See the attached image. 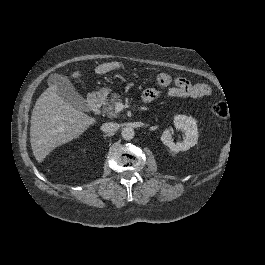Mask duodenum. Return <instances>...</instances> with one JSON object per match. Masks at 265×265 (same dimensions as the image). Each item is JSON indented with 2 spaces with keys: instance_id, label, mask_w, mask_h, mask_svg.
Instances as JSON below:
<instances>
[{
  "instance_id": "1",
  "label": "duodenum",
  "mask_w": 265,
  "mask_h": 265,
  "mask_svg": "<svg viewBox=\"0 0 265 265\" xmlns=\"http://www.w3.org/2000/svg\"><path fill=\"white\" fill-rule=\"evenodd\" d=\"M87 102H88L89 108L92 111L96 112L99 110V108L103 102V96L99 93L90 94L88 96Z\"/></svg>"
}]
</instances>
